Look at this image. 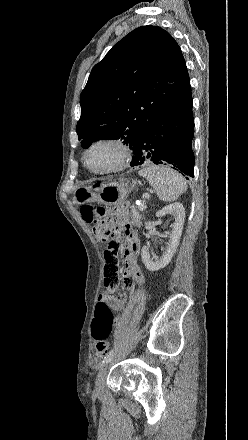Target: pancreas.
Listing matches in <instances>:
<instances>
[{
  "instance_id": "obj_1",
  "label": "pancreas",
  "mask_w": 248,
  "mask_h": 440,
  "mask_svg": "<svg viewBox=\"0 0 248 440\" xmlns=\"http://www.w3.org/2000/svg\"><path fill=\"white\" fill-rule=\"evenodd\" d=\"M140 206L137 208L133 207L131 210V218H132V225L136 227H140L142 225V214L141 212L146 209V206L143 210L139 209Z\"/></svg>"
}]
</instances>
